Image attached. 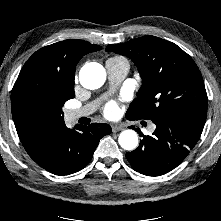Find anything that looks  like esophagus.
Here are the masks:
<instances>
[{
  "label": "esophagus",
  "mask_w": 221,
  "mask_h": 221,
  "mask_svg": "<svg viewBox=\"0 0 221 221\" xmlns=\"http://www.w3.org/2000/svg\"><path fill=\"white\" fill-rule=\"evenodd\" d=\"M123 129H124L123 126H119V125L112 126V132H118V131H121Z\"/></svg>",
  "instance_id": "esophagus-1"
}]
</instances>
